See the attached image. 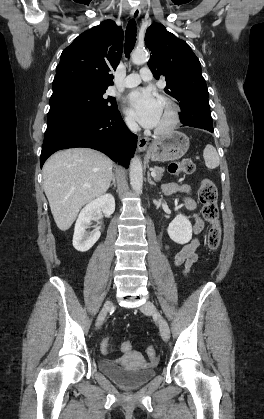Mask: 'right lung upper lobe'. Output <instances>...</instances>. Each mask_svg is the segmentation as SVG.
<instances>
[{
    "label": "right lung upper lobe",
    "mask_w": 264,
    "mask_h": 419,
    "mask_svg": "<svg viewBox=\"0 0 264 419\" xmlns=\"http://www.w3.org/2000/svg\"><path fill=\"white\" fill-rule=\"evenodd\" d=\"M123 51V31L106 20L79 35L61 54L53 92L71 86L107 89Z\"/></svg>",
    "instance_id": "obj_1"
}]
</instances>
